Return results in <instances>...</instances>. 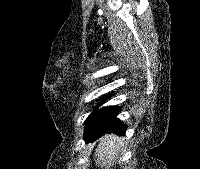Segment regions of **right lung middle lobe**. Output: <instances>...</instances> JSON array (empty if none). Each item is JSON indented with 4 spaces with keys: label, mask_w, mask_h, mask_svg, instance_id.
I'll return each mask as SVG.
<instances>
[{
    "label": "right lung middle lobe",
    "mask_w": 200,
    "mask_h": 169,
    "mask_svg": "<svg viewBox=\"0 0 200 169\" xmlns=\"http://www.w3.org/2000/svg\"><path fill=\"white\" fill-rule=\"evenodd\" d=\"M109 96H110V94H109V95H106L105 98H104L102 101H105ZM97 111H98V110H95L94 112H92V113L89 115V117L86 119L85 122H87L95 113H97Z\"/></svg>",
    "instance_id": "1"
}]
</instances>
